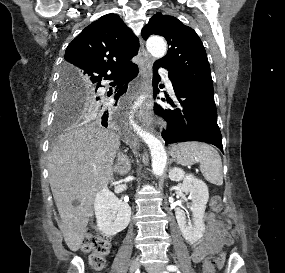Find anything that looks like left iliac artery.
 I'll return each mask as SVG.
<instances>
[{
	"instance_id": "1",
	"label": "left iliac artery",
	"mask_w": 285,
	"mask_h": 273,
	"mask_svg": "<svg viewBox=\"0 0 285 273\" xmlns=\"http://www.w3.org/2000/svg\"><path fill=\"white\" fill-rule=\"evenodd\" d=\"M167 270L171 272H175V271H178V267L175 265H169L167 266Z\"/></svg>"
}]
</instances>
